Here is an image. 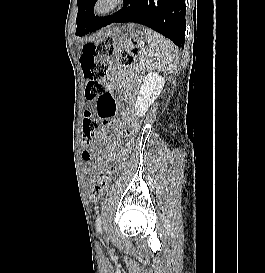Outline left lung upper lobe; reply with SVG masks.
I'll list each match as a JSON object with an SVG mask.
<instances>
[{"instance_id":"obj_1","label":"left lung upper lobe","mask_w":265,"mask_h":273,"mask_svg":"<svg viewBox=\"0 0 265 273\" xmlns=\"http://www.w3.org/2000/svg\"><path fill=\"white\" fill-rule=\"evenodd\" d=\"M96 1L97 0H77L78 14L76 18V24H77L76 33L79 31L84 18L93 12V8Z\"/></svg>"}]
</instances>
